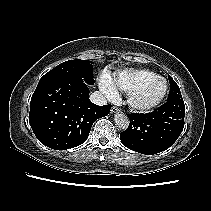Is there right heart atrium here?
Wrapping results in <instances>:
<instances>
[{
    "label": "right heart atrium",
    "mask_w": 211,
    "mask_h": 211,
    "mask_svg": "<svg viewBox=\"0 0 211 211\" xmlns=\"http://www.w3.org/2000/svg\"><path fill=\"white\" fill-rule=\"evenodd\" d=\"M100 89L101 91L111 100L118 98L117 88L114 85L112 79L107 75H102L100 79Z\"/></svg>",
    "instance_id": "right-heart-atrium-1"
}]
</instances>
